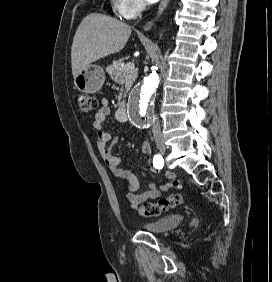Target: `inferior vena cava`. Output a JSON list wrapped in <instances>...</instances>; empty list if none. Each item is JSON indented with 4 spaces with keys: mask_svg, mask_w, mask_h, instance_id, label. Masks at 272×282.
<instances>
[{
    "mask_svg": "<svg viewBox=\"0 0 272 282\" xmlns=\"http://www.w3.org/2000/svg\"><path fill=\"white\" fill-rule=\"evenodd\" d=\"M152 132H153V137L156 141L162 139V133H161L158 117L154 118V120L152 121Z\"/></svg>",
    "mask_w": 272,
    "mask_h": 282,
    "instance_id": "1",
    "label": "inferior vena cava"
}]
</instances>
